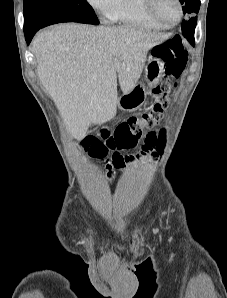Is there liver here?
<instances>
[{"mask_svg": "<svg viewBox=\"0 0 227 298\" xmlns=\"http://www.w3.org/2000/svg\"><path fill=\"white\" fill-rule=\"evenodd\" d=\"M170 34L129 26L58 24L32 41L37 74L71 138L116 116L117 77L123 94L137 84L148 51Z\"/></svg>", "mask_w": 227, "mask_h": 298, "instance_id": "liver-1", "label": "liver"}]
</instances>
